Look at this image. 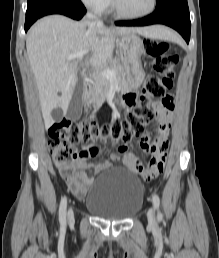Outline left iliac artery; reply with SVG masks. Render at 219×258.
<instances>
[{"mask_svg":"<svg viewBox=\"0 0 219 258\" xmlns=\"http://www.w3.org/2000/svg\"><path fill=\"white\" fill-rule=\"evenodd\" d=\"M152 200H153L154 209L158 210V216L161 217L162 214L159 211V206H160V198H159V196L157 194H154L153 197H152Z\"/></svg>","mask_w":219,"mask_h":258,"instance_id":"1","label":"left iliac artery"}]
</instances>
